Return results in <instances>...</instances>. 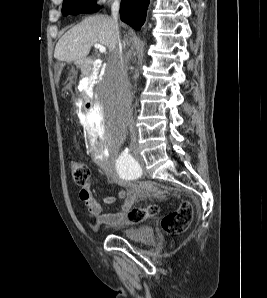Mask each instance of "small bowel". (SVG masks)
<instances>
[{"mask_svg": "<svg viewBox=\"0 0 267 298\" xmlns=\"http://www.w3.org/2000/svg\"><path fill=\"white\" fill-rule=\"evenodd\" d=\"M110 180L120 186L124 185V181L117 175H110ZM138 188L130 186L127 191L120 189L117 197L123 201L122 205L111 213H102V205L93 197L90 190V184H85L79 192V198L86 206L89 215L95 220L94 228L102 225L108 227H121L127 223L126 216L138 195ZM115 201L114 196H107L104 200L106 204H112Z\"/></svg>", "mask_w": 267, "mask_h": 298, "instance_id": "1", "label": "small bowel"}]
</instances>
